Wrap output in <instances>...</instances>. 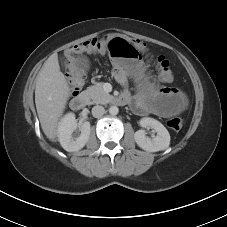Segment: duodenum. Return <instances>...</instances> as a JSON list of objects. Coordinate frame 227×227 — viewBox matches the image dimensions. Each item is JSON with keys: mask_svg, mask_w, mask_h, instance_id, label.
Listing matches in <instances>:
<instances>
[{"mask_svg": "<svg viewBox=\"0 0 227 227\" xmlns=\"http://www.w3.org/2000/svg\"><path fill=\"white\" fill-rule=\"evenodd\" d=\"M88 102H89L88 94L79 93L72 98L70 105L73 110L78 111L83 109L88 104ZM116 102L120 105H124L127 103V100L124 97L120 96L116 99Z\"/></svg>", "mask_w": 227, "mask_h": 227, "instance_id": "1", "label": "duodenum"}]
</instances>
